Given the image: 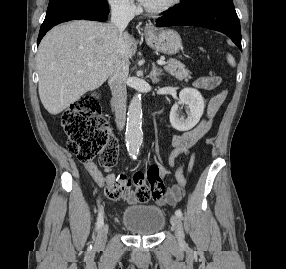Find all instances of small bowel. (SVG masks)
Returning <instances> with one entry per match:
<instances>
[{"label":"small bowel","instance_id":"obj_1","mask_svg":"<svg viewBox=\"0 0 286 269\" xmlns=\"http://www.w3.org/2000/svg\"><path fill=\"white\" fill-rule=\"evenodd\" d=\"M201 78L217 77L207 76ZM217 112L218 110H207L205 118L202 119L193 129L173 136V149L169 155L168 164L171 168H175L176 184L169 187L165 196L156 198L157 203L166 206H174L181 199L182 193L187 184L184 171L187 168L189 172H192L196 161L194 148L199 140L209 131L212 120ZM179 156H184V161L176 167L175 160ZM84 168L89 172L95 183L102 188H107L117 178V176L112 173V168H103L104 172H102L94 162L84 163ZM164 175H167V171L165 169ZM125 199L129 202H133V194L130 192Z\"/></svg>","mask_w":286,"mask_h":269}]
</instances>
